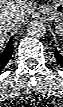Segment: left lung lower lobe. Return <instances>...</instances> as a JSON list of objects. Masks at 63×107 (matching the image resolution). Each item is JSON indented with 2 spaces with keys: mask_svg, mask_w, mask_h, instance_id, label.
<instances>
[{
  "mask_svg": "<svg viewBox=\"0 0 63 107\" xmlns=\"http://www.w3.org/2000/svg\"><path fill=\"white\" fill-rule=\"evenodd\" d=\"M55 57L58 63L63 67V55H61L55 48Z\"/></svg>",
  "mask_w": 63,
  "mask_h": 107,
  "instance_id": "obj_1",
  "label": "left lung lower lobe"
}]
</instances>
